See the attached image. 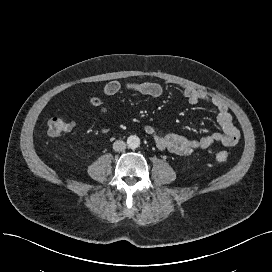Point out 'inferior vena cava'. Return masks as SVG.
Here are the masks:
<instances>
[{
  "instance_id": "inferior-vena-cava-1",
  "label": "inferior vena cava",
  "mask_w": 272,
  "mask_h": 272,
  "mask_svg": "<svg viewBox=\"0 0 272 272\" xmlns=\"http://www.w3.org/2000/svg\"><path fill=\"white\" fill-rule=\"evenodd\" d=\"M113 149L117 152L124 151L126 149V143L122 140H117L113 143Z\"/></svg>"
}]
</instances>
